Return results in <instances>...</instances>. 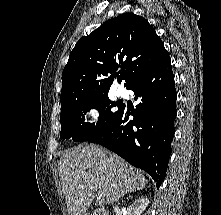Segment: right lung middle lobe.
<instances>
[{"instance_id":"1","label":"right lung middle lobe","mask_w":221,"mask_h":215,"mask_svg":"<svg viewBox=\"0 0 221 215\" xmlns=\"http://www.w3.org/2000/svg\"><path fill=\"white\" fill-rule=\"evenodd\" d=\"M118 106V110L115 107ZM123 105L108 98V93L90 99L81 100L61 106L60 122L63 139L72 138L75 142L87 141L107 130L118 118ZM99 111L98 122H84V114L90 109Z\"/></svg>"}]
</instances>
